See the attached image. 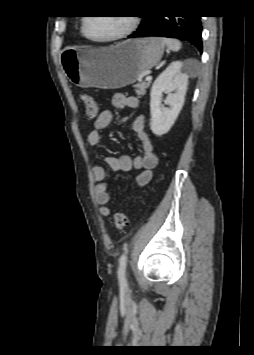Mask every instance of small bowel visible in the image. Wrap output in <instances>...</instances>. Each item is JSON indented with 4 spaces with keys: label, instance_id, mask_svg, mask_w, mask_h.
<instances>
[{
    "label": "small bowel",
    "instance_id": "c3829d8e",
    "mask_svg": "<svg viewBox=\"0 0 254 355\" xmlns=\"http://www.w3.org/2000/svg\"><path fill=\"white\" fill-rule=\"evenodd\" d=\"M112 105L116 108H128L135 110L139 107V100L134 96H126L122 93H116L112 97ZM112 117L113 115L111 111L103 110L94 120L93 126L87 136V141L91 146L96 147L100 144L101 132L109 126L112 121ZM132 130L141 142V155L136 157H131L129 155H100V159L106 162L114 171L129 172L133 169L140 170L136 177V184L138 186H146L152 179L153 170L158 164V157L146 132L144 116L140 115L134 119L132 123ZM92 172L96 181L94 191L96 201L100 205L99 211L103 217H107L110 215L111 211L108 206L110 194L108 192V185L105 181L106 170L102 166H95Z\"/></svg>",
    "mask_w": 254,
    "mask_h": 355
}]
</instances>
